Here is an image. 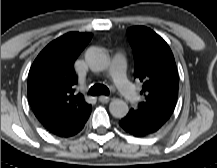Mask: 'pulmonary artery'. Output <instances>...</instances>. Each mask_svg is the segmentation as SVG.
I'll list each match as a JSON object with an SVG mask.
<instances>
[{
	"label": "pulmonary artery",
	"instance_id": "obj_1",
	"mask_svg": "<svg viewBox=\"0 0 217 168\" xmlns=\"http://www.w3.org/2000/svg\"><path fill=\"white\" fill-rule=\"evenodd\" d=\"M125 68V54L123 52L116 53L111 62L110 74L122 98L126 102L131 103L137 100L138 94L131 86V84L127 81L125 77Z\"/></svg>",
	"mask_w": 217,
	"mask_h": 168
}]
</instances>
